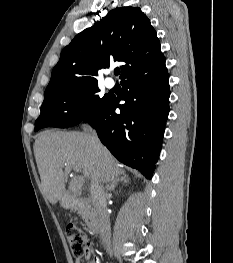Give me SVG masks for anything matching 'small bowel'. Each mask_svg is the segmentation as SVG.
I'll return each instance as SVG.
<instances>
[{"mask_svg": "<svg viewBox=\"0 0 233 263\" xmlns=\"http://www.w3.org/2000/svg\"><path fill=\"white\" fill-rule=\"evenodd\" d=\"M77 263H101L99 258H92L91 260L78 261Z\"/></svg>", "mask_w": 233, "mask_h": 263, "instance_id": "obj_1", "label": "small bowel"}]
</instances>
